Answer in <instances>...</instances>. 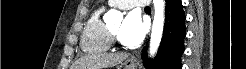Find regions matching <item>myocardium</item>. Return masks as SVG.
<instances>
[{
    "instance_id": "myocardium-1",
    "label": "myocardium",
    "mask_w": 246,
    "mask_h": 69,
    "mask_svg": "<svg viewBox=\"0 0 246 69\" xmlns=\"http://www.w3.org/2000/svg\"><path fill=\"white\" fill-rule=\"evenodd\" d=\"M110 36H111L112 41L117 42V43L119 42L117 39V36L113 33L112 30H110Z\"/></svg>"
}]
</instances>
